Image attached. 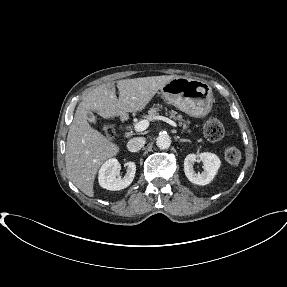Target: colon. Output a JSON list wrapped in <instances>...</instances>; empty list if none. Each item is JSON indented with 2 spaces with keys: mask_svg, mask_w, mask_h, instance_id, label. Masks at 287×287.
Wrapping results in <instances>:
<instances>
[{
  "mask_svg": "<svg viewBox=\"0 0 287 287\" xmlns=\"http://www.w3.org/2000/svg\"><path fill=\"white\" fill-rule=\"evenodd\" d=\"M104 133L107 136L112 134L113 125L111 121H105L103 124ZM204 135L210 141H219L224 136V126L220 120L211 118L204 124ZM224 159L230 165H237L241 161L242 153L234 145L225 147L223 152Z\"/></svg>",
  "mask_w": 287,
  "mask_h": 287,
  "instance_id": "1",
  "label": "colon"
}]
</instances>
